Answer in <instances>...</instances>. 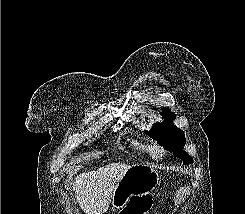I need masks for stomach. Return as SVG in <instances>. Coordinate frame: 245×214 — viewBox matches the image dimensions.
Listing matches in <instances>:
<instances>
[{"label": "stomach", "instance_id": "stomach-1", "mask_svg": "<svg viewBox=\"0 0 245 214\" xmlns=\"http://www.w3.org/2000/svg\"><path fill=\"white\" fill-rule=\"evenodd\" d=\"M159 181L158 172L152 166L133 165L118 182L111 199L112 207L124 208L131 196L150 194Z\"/></svg>", "mask_w": 245, "mask_h": 214}]
</instances>
